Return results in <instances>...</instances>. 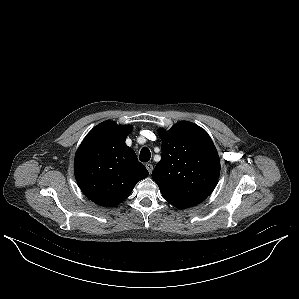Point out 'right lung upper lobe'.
I'll use <instances>...</instances> for the list:
<instances>
[{
  "mask_svg": "<svg viewBox=\"0 0 299 299\" xmlns=\"http://www.w3.org/2000/svg\"><path fill=\"white\" fill-rule=\"evenodd\" d=\"M131 130L128 125L102 122L87 134L76 153L77 183L86 197L100 206L120 204L149 174L125 143Z\"/></svg>",
  "mask_w": 299,
  "mask_h": 299,
  "instance_id": "obj_1",
  "label": "right lung upper lobe"
}]
</instances>
